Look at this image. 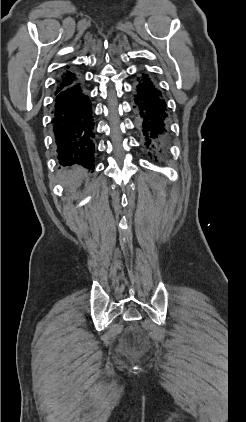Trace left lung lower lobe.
Returning a JSON list of instances; mask_svg holds the SVG:
<instances>
[{
  "label": "left lung lower lobe",
  "mask_w": 246,
  "mask_h": 422,
  "mask_svg": "<svg viewBox=\"0 0 246 422\" xmlns=\"http://www.w3.org/2000/svg\"><path fill=\"white\" fill-rule=\"evenodd\" d=\"M138 130L149 155H159L166 148L168 114L161 91L146 73L137 78L134 96Z\"/></svg>",
  "instance_id": "0a47b994"
}]
</instances>
